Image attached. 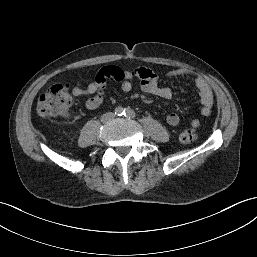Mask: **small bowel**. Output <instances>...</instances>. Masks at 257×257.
Here are the masks:
<instances>
[{"label":"small bowel","instance_id":"obj_1","mask_svg":"<svg viewBox=\"0 0 257 257\" xmlns=\"http://www.w3.org/2000/svg\"><path fill=\"white\" fill-rule=\"evenodd\" d=\"M101 74L106 77V80L112 78L120 82V87L124 92L131 91L134 80H138L142 92L162 99H170L172 97V90L168 86L160 85L158 75L151 69L142 66L123 69L119 66L109 65L103 67L94 78L89 79L85 87L76 86L72 90L73 94L77 97H88L85 107L89 110H95L103 104L105 85L101 86L97 82V76ZM167 76L189 78L197 90L199 102L202 105L201 113L204 116L211 114L214 97L209 84L204 78L185 69L171 70L167 73ZM180 121L181 117L177 113H170L166 117V122L171 127L177 126ZM199 124L198 119L191 121V126L194 128H197Z\"/></svg>","mask_w":257,"mask_h":257}]
</instances>
